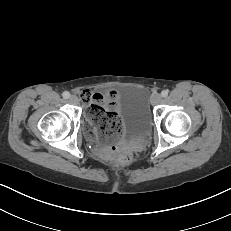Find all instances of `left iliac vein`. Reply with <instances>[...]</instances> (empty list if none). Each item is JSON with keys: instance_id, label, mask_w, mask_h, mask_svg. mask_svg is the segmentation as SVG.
I'll list each match as a JSON object with an SVG mask.
<instances>
[{"instance_id": "4c4485c4", "label": "left iliac vein", "mask_w": 231, "mask_h": 231, "mask_svg": "<svg viewBox=\"0 0 231 231\" xmlns=\"http://www.w3.org/2000/svg\"><path fill=\"white\" fill-rule=\"evenodd\" d=\"M162 100V97L160 94L156 93V94H153L152 97H151V104L152 105H157L161 102Z\"/></svg>"}]
</instances>
